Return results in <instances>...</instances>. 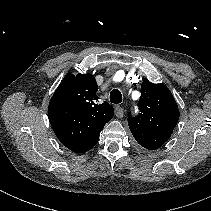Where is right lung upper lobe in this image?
<instances>
[{"label":"right lung upper lobe","instance_id":"cb5924a9","mask_svg":"<svg viewBox=\"0 0 211 211\" xmlns=\"http://www.w3.org/2000/svg\"><path fill=\"white\" fill-rule=\"evenodd\" d=\"M98 86L92 74L68 73L56 89L53 97L73 103V125L68 129L54 130L60 142L73 152L93 136L99 134L113 115V107L106 101L99 104L96 95Z\"/></svg>","mask_w":211,"mask_h":211}]
</instances>
